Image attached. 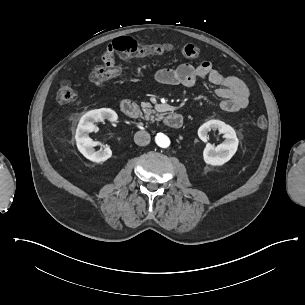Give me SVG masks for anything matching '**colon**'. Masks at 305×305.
<instances>
[{
  "label": "colon",
  "instance_id": "5ec220e1",
  "mask_svg": "<svg viewBox=\"0 0 305 305\" xmlns=\"http://www.w3.org/2000/svg\"><path fill=\"white\" fill-rule=\"evenodd\" d=\"M115 45V53L118 57H114L112 64L95 67L89 76V81L94 85H101L105 81L117 76L121 69L124 60L128 57L142 56L145 54H162L177 46L171 44H164L155 48L154 46H144L139 44V40L134 35H126L124 37H117L113 40ZM183 56L189 59H197L201 56V50L194 44H185L180 48ZM76 91L69 82H61L56 95V101L59 104H68L76 100ZM256 124L259 128H265L267 120L264 116H259L256 119Z\"/></svg>",
  "mask_w": 305,
  "mask_h": 305
}]
</instances>
